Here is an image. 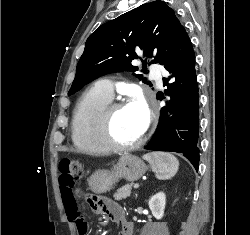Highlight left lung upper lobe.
Segmentation results:
<instances>
[{"label": "left lung upper lobe", "mask_w": 250, "mask_h": 235, "mask_svg": "<svg viewBox=\"0 0 250 235\" xmlns=\"http://www.w3.org/2000/svg\"><path fill=\"white\" fill-rule=\"evenodd\" d=\"M183 28L174 11L163 1L145 3L102 24L86 41L68 95L104 74L137 71L131 61L138 59L141 52L154 58L150 64L163 65ZM146 63L143 62L144 73ZM137 76L152 86L143 75Z\"/></svg>", "instance_id": "5c2ea615"}]
</instances>
